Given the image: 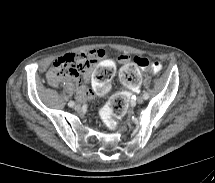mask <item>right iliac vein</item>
Masks as SVG:
<instances>
[{
	"mask_svg": "<svg viewBox=\"0 0 215 183\" xmlns=\"http://www.w3.org/2000/svg\"><path fill=\"white\" fill-rule=\"evenodd\" d=\"M74 108H75V110H77V111H78V110H80V109H81V106H80L79 104H77V105H75V107H74Z\"/></svg>",
	"mask_w": 215,
	"mask_h": 183,
	"instance_id": "obj_1",
	"label": "right iliac vein"
}]
</instances>
